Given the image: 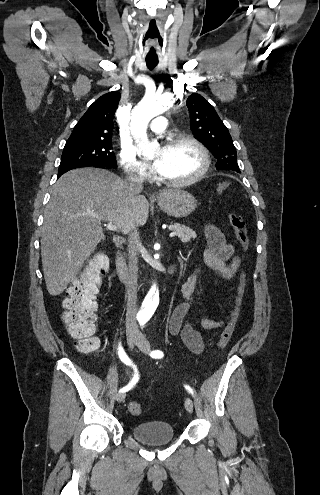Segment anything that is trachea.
<instances>
[{"mask_svg": "<svg viewBox=\"0 0 320 495\" xmlns=\"http://www.w3.org/2000/svg\"><path fill=\"white\" fill-rule=\"evenodd\" d=\"M158 61L154 60H146V64L149 67V69H153L157 65Z\"/></svg>", "mask_w": 320, "mask_h": 495, "instance_id": "obj_1", "label": "trachea"}]
</instances>
